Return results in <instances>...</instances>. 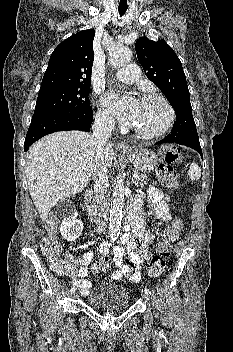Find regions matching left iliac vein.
I'll return each instance as SVG.
<instances>
[{
	"instance_id": "4c4485c4",
	"label": "left iliac vein",
	"mask_w": 233,
	"mask_h": 352,
	"mask_svg": "<svg viewBox=\"0 0 233 352\" xmlns=\"http://www.w3.org/2000/svg\"><path fill=\"white\" fill-rule=\"evenodd\" d=\"M142 298L145 302H149V300H150L149 294L146 292H143Z\"/></svg>"
}]
</instances>
